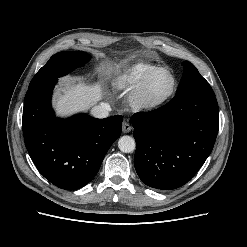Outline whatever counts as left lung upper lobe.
<instances>
[{
    "mask_svg": "<svg viewBox=\"0 0 247 247\" xmlns=\"http://www.w3.org/2000/svg\"><path fill=\"white\" fill-rule=\"evenodd\" d=\"M182 66L184 67V74L181 78L176 94L190 89L212 90L209 83L200 75L192 63L185 61L182 63Z\"/></svg>",
    "mask_w": 247,
    "mask_h": 247,
    "instance_id": "obj_1",
    "label": "left lung upper lobe"
}]
</instances>
